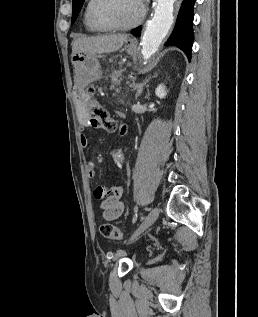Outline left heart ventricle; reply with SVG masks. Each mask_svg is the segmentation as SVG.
Returning a JSON list of instances; mask_svg holds the SVG:
<instances>
[{
	"mask_svg": "<svg viewBox=\"0 0 258 317\" xmlns=\"http://www.w3.org/2000/svg\"><path fill=\"white\" fill-rule=\"evenodd\" d=\"M96 18L106 25L129 27L138 17V7L131 0H108L95 8Z\"/></svg>",
	"mask_w": 258,
	"mask_h": 317,
	"instance_id": "1",
	"label": "left heart ventricle"
}]
</instances>
